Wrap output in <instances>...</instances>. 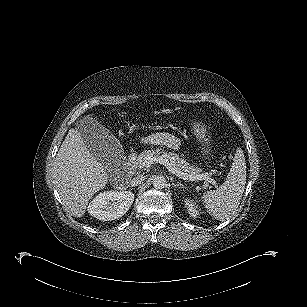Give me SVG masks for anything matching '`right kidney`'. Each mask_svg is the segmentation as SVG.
Here are the masks:
<instances>
[{"mask_svg":"<svg viewBox=\"0 0 307 307\" xmlns=\"http://www.w3.org/2000/svg\"><path fill=\"white\" fill-rule=\"evenodd\" d=\"M134 194L130 191H104L88 205V213L102 221H112L122 217L131 207Z\"/></svg>","mask_w":307,"mask_h":307,"instance_id":"ca27d5eb","label":"right kidney"}]
</instances>
